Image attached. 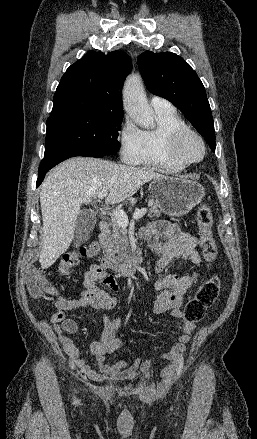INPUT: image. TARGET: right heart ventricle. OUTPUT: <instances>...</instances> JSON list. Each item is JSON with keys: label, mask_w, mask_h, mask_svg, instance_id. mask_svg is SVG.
Masks as SVG:
<instances>
[{"label": "right heart ventricle", "mask_w": 257, "mask_h": 439, "mask_svg": "<svg viewBox=\"0 0 257 439\" xmlns=\"http://www.w3.org/2000/svg\"><path fill=\"white\" fill-rule=\"evenodd\" d=\"M155 112L156 127L141 132V151L133 164L153 167L167 173H179L184 166L170 157L167 142L173 132L187 128V124L173 109Z\"/></svg>", "instance_id": "e07e8e85"}]
</instances>
